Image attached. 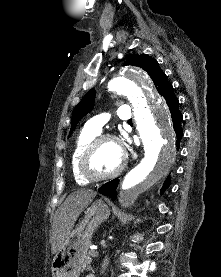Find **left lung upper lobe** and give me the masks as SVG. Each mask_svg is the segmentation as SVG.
Listing matches in <instances>:
<instances>
[{
  "label": "left lung upper lobe",
  "mask_w": 221,
  "mask_h": 277,
  "mask_svg": "<svg viewBox=\"0 0 221 277\" xmlns=\"http://www.w3.org/2000/svg\"><path fill=\"white\" fill-rule=\"evenodd\" d=\"M125 65H134L145 70L152 78L156 89L162 96L164 95L167 88L171 86V84L167 80V76L159 68L157 61L145 54H132L127 59ZM94 101L95 90L91 89L78 103V105L74 108L72 112L71 131L69 136L71 135L72 131L75 129L81 118L93 109Z\"/></svg>",
  "instance_id": "5c2ea615"
}]
</instances>
